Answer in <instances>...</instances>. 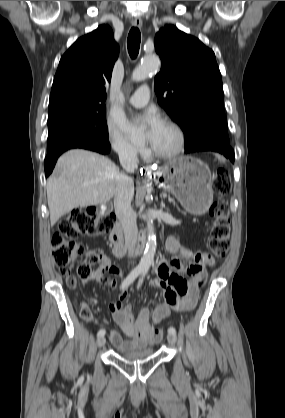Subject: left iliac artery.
I'll return each instance as SVG.
<instances>
[{
	"label": "left iliac artery",
	"mask_w": 285,
	"mask_h": 418,
	"mask_svg": "<svg viewBox=\"0 0 285 418\" xmlns=\"http://www.w3.org/2000/svg\"><path fill=\"white\" fill-rule=\"evenodd\" d=\"M145 274H146V270H143V272H142V276H144ZM142 280H143V278L139 280L138 287H140V286H141V284H142ZM168 333H171V334H176V329H175L174 327H169V328H168Z\"/></svg>",
	"instance_id": "obj_1"
}]
</instances>
